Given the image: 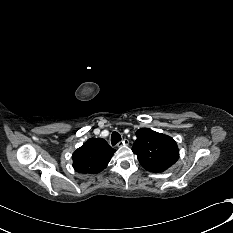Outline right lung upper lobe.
Masks as SVG:
<instances>
[{"label":"right lung upper lobe","mask_w":233,"mask_h":233,"mask_svg":"<svg viewBox=\"0 0 233 233\" xmlns=\"http://www.w3.org/2000/svg\"><path fill=\"white\" fill-rule=\"evenodd\" d=\"M104 139L90 138L72 156L73 168L79 173H99L115 153Z\"/></svg>","instance_id":"obj_1"}]
</instances>
